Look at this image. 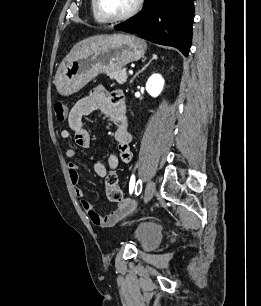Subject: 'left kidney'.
Wrapping results in <instances>:
<instances>
[{
  "label": "left kidney",
  "instance_id": "left-kidney-1",
  "mask_svg": "<svg viewBox=\"0 0 261 306\" xmlns=\"http://www.w3.org/2000/svg\"><path fill=\"white\" fill-rule=\"evenodd\" d=\"M164 79L160 74H153L146 83V91L152 96L157 97L163 90Z\"/></svg>",
  "mask_w": 261,
  "mask_h": 306
}]
</instances>
